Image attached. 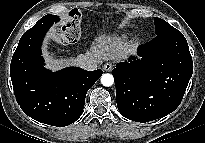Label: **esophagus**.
Listing matches in <instances>:
<instances>
[{
	"instance_id": "obj_1",
	"label": "esophagus",
	"mask_w": 205,
	"mask_h": 143,
	"mask_svg": "<svg viewBox=\"0 0 205 143\" xmlns=\"http://www.w3.org/2000/svg\"><path fill=\"white\" fill-rule=\"evenodd\" d=\"M113 68V64L110 63V62H107L103 65V70L106 71V72H109L111 71Z\"/></svg>"
}]
</instances>
